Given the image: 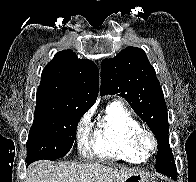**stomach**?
Listing matches in <instances>:
<instances>
[{
	"mask_svg": "<svg viewBox=\"0 0 196 182\" xmlns=\"http://www.w3.org/2000/svg\"><path fill=\"white\" fill-rule=\"evenodd\" d=\"M125 182H157L154 177L146 175L141 172H136L135 174L128 177Z\"/></svg>",
	"mask_w": 196,
	"mask_h": 182,
	"instance_id": "1",
	"label": "stomach"
}]
</instances>
